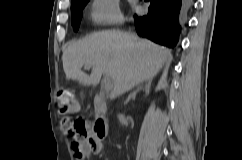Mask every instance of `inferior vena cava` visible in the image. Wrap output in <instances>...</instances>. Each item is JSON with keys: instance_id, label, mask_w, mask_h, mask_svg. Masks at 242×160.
<instances>
[{"instance_id": "1", "label": "inferior vena cava", "mask_w": 242, "mask_h": 160, "mask_svg": "<svg viewBox=\"0 0 242 160\" xmlns=\"http://www.w3.org/2000/svg\"><path fill=\"white\" fill-rule=\"evenodd\" d=\"M131 72H132V73H135V72H136V69H135V68H132V69H131Z\"/></svg>"}]
</instances>
